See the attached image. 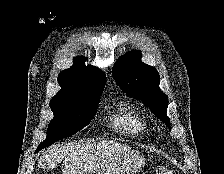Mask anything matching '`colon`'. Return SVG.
<instances>
[{"label":"colon","instance_id":"1","mask_svg":"<svg viewBox=\"0 0 224 174\" xmlns=\"http://www.w3.org/2000/svg\"><path fill=\"white\" fill-rule=\"evenodd\" d=\"M155 174H175V171L168 166H160L157 168Z\"/></svg>","mask_w":224,"mask_h":174}]
</instances>
